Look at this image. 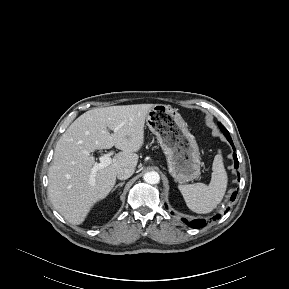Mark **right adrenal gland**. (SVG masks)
Here are the masks:
<instances>
[{"label":"right adrenal gland","mask_w":289,"mask_h":289,"mask_svg":"<svg viewBox=\"0 0 289 289\" xmlns=\"http://www.w3.org/2000/svg\"><path fill=\"white\" fill-rule=\"evenodd\" d=\"M125 184V182H121L117 185H115V187L112 189V192L115 191L118 187H122Z\"/></svg>","instance_id":"1"}]
</instances>
